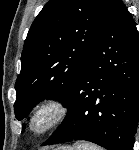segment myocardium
<instances>
[{
	"mask_svg": "<svg viewBox=\"0 0 139 150\" xmlns=\"http://www.w3.org/2000/svg\"><path fill=\"white\" fill-rule=\"evenodd\" d=\"M67 115L68 106L63 99L54 96L47 97L41 100L31 111L28 129L36 136L44 135L60 125ZM41 116H46V122L43 126L37 127L36 122Z\"/></svg>",
	"mask_w": 139,
	"mask_h": 150,
	"instance_id": "1",
	"label": "myocardium"
}]
</instances>
